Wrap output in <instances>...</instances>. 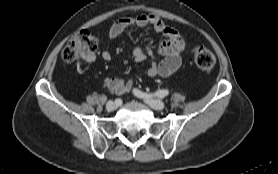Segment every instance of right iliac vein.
Returning <instances> with one entry per match:
<instances>
[{
  "instance_id": "obj_1",
  "label": "right iliac vein",
  "mask_w": 278,
  "mask_h": 174,
  "mask_svg": "<svg viewBox=\"0 0 278 174\" xmlns=\"http://www.w3.org/2000/svg\"><path fill=\"white\" fill-rule=\"evenodd\" d=\"M117 108V104L114 103L113 101H108L107 104H106V109L108 111H113Z\"/></svg>"
}]
</instances>
